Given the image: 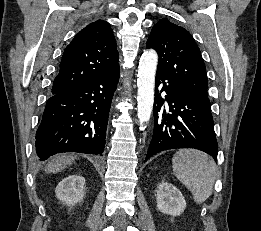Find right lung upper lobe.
Here are the masks:
<instances>
[{
	"instance_id": "cb5924a9",
	"label": "right lung upper lobe",
	"mask_w": 261,
	"mask_h": 231,
	"mask_svg": "<svg viewBox=\"0 0 261 231\" xmlns=\"http://www.w3.org/2000/svg\"><path fill=\"white\" fill-rule=\"evenodd\" d=\"M117 66L118 51L110 24L103 20L92 22L66 47L52 95L82 86Z\"/></svg>"
}]
</instances>
